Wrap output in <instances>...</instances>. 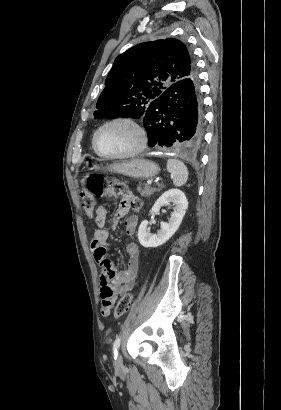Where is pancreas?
I'll return each instance as SVG.
<instances>
[{
    "label": "pancreas",
    "mask_w": 281,
    "mask_h": 410,
    "mask_svg": "<svg viewBox=\"0 0 281 410\" xmlns=\"http://www.w3.org/2000/svg\"><path fill=\"white\" fill-rule=\"evenodd\" d=\"M159 188H153L148 185L141 187L140 185L137 187V191L140 193L141 196H151L154 192L159 191Z\"/></svg>",
    "instance_id": "pancreas-1"
}]
</instances>
